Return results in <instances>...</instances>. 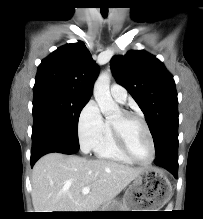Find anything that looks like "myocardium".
<instances>
[{"mask_svg": "<svg viewBox=\"0 0 203 219\" xmlns=\"http://www.w3.org/2000/svg\"><path fill=\"white\" fill-rule=\"evenodd\" d=\"M132 118L138 119L143 124L145 131L149 138L152 154H151V158L146 162L140 161L137 158H135L128 147L123 125L126 121ZM111 126H112V130H113L114 137H115L118 147L128 159H130L132 162L137 163L139 165H149L154 161L155 156H156L155 141H154L151 129L146 119L144 118V116L131 110H121L120 121L118 122L111 121Z\"/></svg>", "mask_w": 203, "mask_h": 219, "instance_id": "myocardium-1", "label": "myocardium"}]
</instances>
